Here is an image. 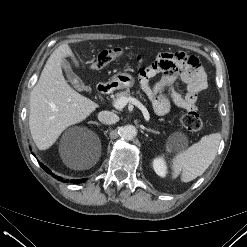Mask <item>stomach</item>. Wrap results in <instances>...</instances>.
Instances as JSON below:
<instances>
[{
    "label": "stomach",
    "instance_id": "stomach-1",
    "mask_svg": "<svg viewBox=\"0 0 247 247\" xmlns=\"http://www.w3.org/2000/svg\"><path fill=\"white\" fill-rule=\"evenodd\" d=\"M109 84L113 89H128L133 87V85L135 84V79L129 73L118 72L117 74L112 76Z\"/></svg>",
    "mask_w": 247,
    "mask_h": 247
}]
</instances>
